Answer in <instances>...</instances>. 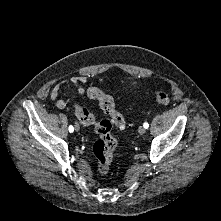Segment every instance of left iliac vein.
<instances>
[{
    "mask_svg": "<svg viewBox=\"0 0 221 221\" xmlns=\"http://www.w3.org/2000/svg\"><path fill=\"white\" fill-rule=\"evenodd\" d=\"M138 132H139V134L142 135V134H144L146 132V128L143 127V126H140L139 129H138Z\"/></svg>",
    "mask_w": 221,
    "mask_h": 221,
    "instance_id": "obj_1",
    "label": "left iliac vein"
}]
</instances>
